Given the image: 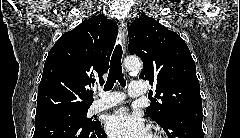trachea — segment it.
<instances>
[{"label": "trachea", "mask_w": 240, "mask_h": 138, "mask_svg": "<svg viewBox=\"0 0 240 138\" xmlns=\"http://www.w3.org/2000/svg\"><path fill=\"white\" fill-rule=\"evenodd\" d=\"M122 47L121 45H117L113 51L111 60H110V69L106 84L104 86L105 91H109L114 86V83L118 81L121 86L126 85V81L124 80V75L122 73Z\"/></svg>", "instance_id": "obj_1"}]
</instances>
